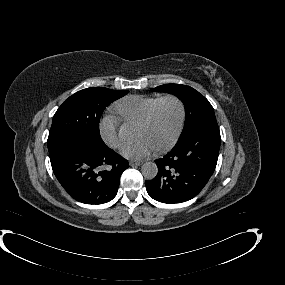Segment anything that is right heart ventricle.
<instances>
[{
  "mask_svg": "<svg viewBox=\"0 0 285 285\" xmlns=\"http://www.w3.org/2000/svg\"><path fill=\"white\" fill-rule=\"evenodd\" d=\"M159 96H131L118 105V111L128 124L140 125L153 112Z\"/></svg>",
  "mask_w": 285,
  "mask_h": 285,
  "instance_id": "right-heart-ventricle-1",
  "label": "right heart ventricle"
}]
</instances>
